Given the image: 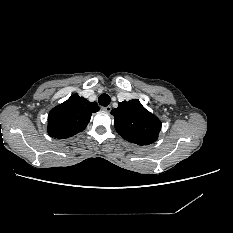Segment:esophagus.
Returning <instances> with one entry per match:
<instances>
[{"instance_id": "esophagus-1", "label": "esophagus", "mask_w": 233, "mask_h": 233, "mask_svg": "<svg viewBox=\"0 0 233 233\" xmlns=\"http://www.w3.org/2000/svg\"><path fill=\"white\" fill-rule=\"evenodd\" d=\"M103 111L110 112L112 110L111 106H106L101 108Z\"/></svg>"}]
</instances>
